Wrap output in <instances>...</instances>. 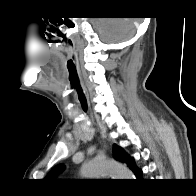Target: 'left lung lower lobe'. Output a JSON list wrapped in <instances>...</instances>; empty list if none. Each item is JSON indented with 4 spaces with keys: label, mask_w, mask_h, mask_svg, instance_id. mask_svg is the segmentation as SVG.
<instances>
[{
    "label": "left lung lower lobe",
    "mask_w": 196,
    "mask_h": 196,
    "mask_svg": "<svg viewBox=\"0 0 196 196\" xmlns=\"http://www.w3.org/2000/svg\"><path fill=\"white\" fill-rule=\"evenodd\" d=\"M131 170L134 172V174L137 177V179H141L142 171L137 168V166L134 164V162H133V164L131 166Z\"/></svg>",
    "instance_id": "left-lung-lower-lobe-1"
}]
</instances>
